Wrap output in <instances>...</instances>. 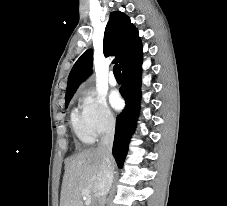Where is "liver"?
<instances>
[{
  "mask_svg": "<svg viewBox=\"0 0 227 206\" xmlns=\"http://www.w3.org/2000/svg\"><path fill=\"white\" fill-rule=\"evenodd\" d=\"M102 164L97 148H90L75 155L66 165L62 183L60 206H83V190L89 191L91 206H96V181Z\"/></svg>",
  "mask_w": 227,
  "mask_h": 206,
  "instance_id": "obj_1",
  "label": "liver"
}]
</instances>
